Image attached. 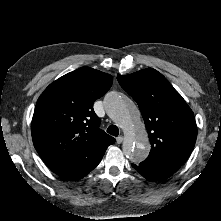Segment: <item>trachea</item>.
<instances>
[{
	"label": "trachea",
	"mask_w": 221,
	"mask_h": 221,
	"mask_svg": "<svg viewBox=\"0 0 221 221\" xmlns=\"http://www.w3.org/2000/svg\"><path fill=\"white\" fill-rule=\"evenodd\" d=\"M107 133L113 135V136H118L119 134V129L116 125H110L107 129Z\"/></svg>",
	"instance_id": "obj_1"
}]
</instances>
